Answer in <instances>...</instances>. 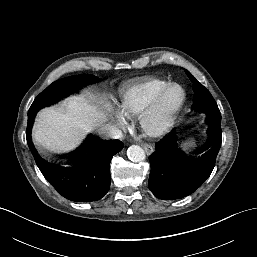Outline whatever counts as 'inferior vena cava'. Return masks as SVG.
Here are the masks:
<instances>
[{
	"mask_svg": "<svg viewBox=\"0 0 257 257\" xmlns=\"http://www.w3.org/2000/svg\"><path fill=\"white\" fill-rule=\"evenodd\" d=\"M106 131L111 138H120L122 136L121 130L114 126L107 127Z\"/></svg>",
	"mask_w": 257,
	"mask_h": 257,
	"instance_id": "602c4592",
	"label": "inferior vena cava"
}]
</instances>
